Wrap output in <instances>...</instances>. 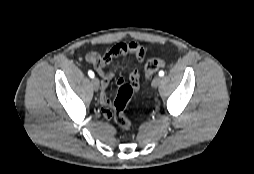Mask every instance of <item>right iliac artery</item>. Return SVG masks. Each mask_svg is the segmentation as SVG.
I'll use <instances>...</instances> for the list:
<instances>
[{"label": "right iliac artery", "instance_id": "obj_1", "mask_svg": "<svg viewBox=\"0 0 254 174\" xmlns=\"http://www.w3.org/2000/svg\"><path fill=\"white\" fill-rule=\"evenodd\" d=\"M88 75H89L91 78H94V72H93V71L89 70V71H88Z\"/></svg>", "mask_w": 254, "mask_h": 174}]
</instances>
